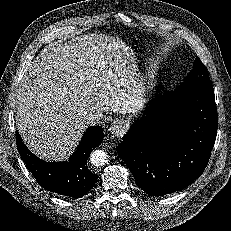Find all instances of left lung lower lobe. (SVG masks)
<instances>
[{
	"instance_id": "left-lung-lower-lobe-1",
	"label": "left lung lower lobe",
	"mask_w": 231,
	"mask_h": 231,
	"mask_svg": "<svg viewBox=\"0 0 231 231\" xmlns=\"http://www.w3.org/2000/svg\"><path fill=\"white\" fill-rule=\"evenodd\" d=\"M117 153L151 196L182 190L205 170L217 134L214 89L184 87L150 102Z\"/></svg>"
}]
</instances>
